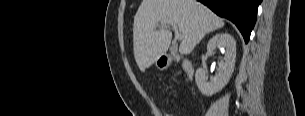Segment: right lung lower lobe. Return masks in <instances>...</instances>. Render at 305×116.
<instances>
[{
    "mask_svg": "<svg viewBox=\"0 0 305 116\" xmlns=\"http://www.w3.org/2000/svg\"><path fill=\"white\" fill-rule=\"evenodd\" d=\"M217 15L231 20L247 43L256 22V14L262 0H198Z\"/></svg>",
    "mask_w": 305,
    "mask_h": 116,
    "instance_id": "right-lung-lower-lobe-1",
    "label": "right lung lower lobe"
}]
</instances>
